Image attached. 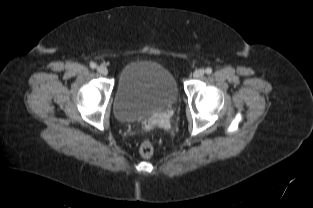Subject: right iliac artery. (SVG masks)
I'll list each match as a JSON object with an SVG mask.
<instances>
[{
    "instance_id": "82829eb1",
    "label": "right iliac artery",
    "mask_w": 313,
    "mask_h": 208,
    "mask_svg": "<svg viewBox=\"0 0 313 208\" xmlns=\"http://www.w3.org/2000/svg\"><path fill=\"white\" fill-rule=\"evenodd\" d=\"M96 66H97L96 63H94V62H91V63H90V67H91L92 69H95Z\"/></svg>"
}]
</instances>
